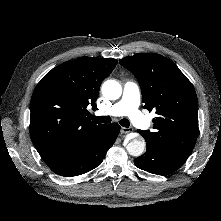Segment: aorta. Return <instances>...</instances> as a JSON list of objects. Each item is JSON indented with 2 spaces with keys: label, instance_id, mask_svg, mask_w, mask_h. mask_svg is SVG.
<instances>
[{
  "label": "aorta",
  "instance_id": "1",
  "mask_svg": "<svg viewBox=\"0 0 221 221\" xmlns=\"http://www.w3.org/2000/svg\"><path fill=\"white\" fill-rule=\"evenodd\" d=\"M101 91L107 99L116 100L122 94V87L119 82L110 79L102 84ZM145 146V140L142 137L134 138L126 145V150L131 156L138 157L143 154Z\"/></svg>",
  "mask_w": 221,
  "mask_h": 221
}]
</instances>
